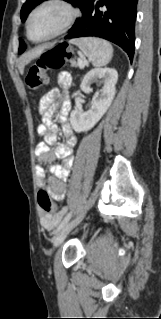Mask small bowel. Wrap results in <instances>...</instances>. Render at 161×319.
I'll return each instance as SVG.
<instances>
[{
    "label": "small bowel",
    "mask_w": 161,
    "mask_h": 319,
    "mask_svg": "<svg viewBox=\"0 0 161 319\" xmlns=\"http://www.w3.org/2000/svg\"><path fill=\"white\" fill-rule=\"evenodd\" d=\"M57 83L60 87L50 90L41 100L39 113L42 115V124L38 127V133L43 135L44 140L39 142L35 148V154L42 162H52L56 158L64 159L62 165H53L50 167V175L47 178L49 186L47 187L50 195L55 201H63L66 195L67 187L65 182L69 178L70 169L73 166L72 150L77 144V138L68 123V115L71 110L69 102L68 87L70 84V75L67 72H60L57 75ZM61 93L58 102L56 99ZM60 106L59 121L62 127V134L65 142L57 144L53 152L50 151V145H54L58 140V125L54 122L53 116ZM45 171L42 167L37 170V178L40 186L45 185ZM67 207H62L59 211L42 212L40 215V224L45 230H53L62 220Z\"/></svg>",
    "instance_id": "c3829d8e"
}]
</instances>
